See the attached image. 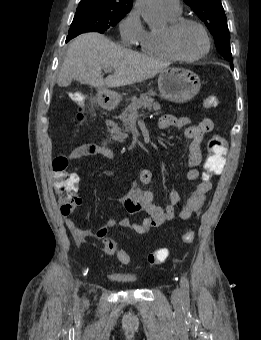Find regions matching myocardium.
<instances>
[{
    "label": "myocardium",
    "mask_w": 261,
    "mask_h": 340,
    "mask_svg": "<svg viewBox=\"0 0 261 340\" xmlns=\"http://www.w3.org/2000/svg\"><path fill=\"white\" fill-rule=\"evenodd\" d=\"M186 24H193L197 26L201 30L204 36V39H205L204 50L196 56H191V57L184 56L179 52L176 46V35L178 31ZM164 40H165L166 47L168 51L172 54V56L175 59H178L184 62L198 61L204 58L211 49V39H210V36H209V33L206 27L200 21L193 19V18H188V17H179L176 20L171 21L169 25L167 26V28L164 30Z\"/></svg>",
    "instance_id": "myocardium-1"
}]
</instances>
